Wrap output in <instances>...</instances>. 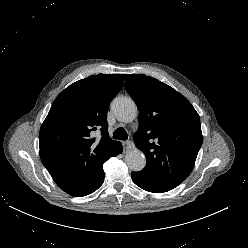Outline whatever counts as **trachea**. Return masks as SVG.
Wrapping results in <instances>:
<instances>
[{
  "label": "trachea",
  "instance_id": "1",
  "mask_svg": "<svg viewBox=\"0 0 248 248\" xmlns=\"http://www.w3.org/2000/svg\"><path fill=\"white\" fill-rule=\"evenodd\" d=\"M127 138H128V134L125 131V129L122 127L117 128L113 133V139L127 140Z\"/></svg>",
  "mask_w": 248,
  "mask_h": 248
}]
</instances>
